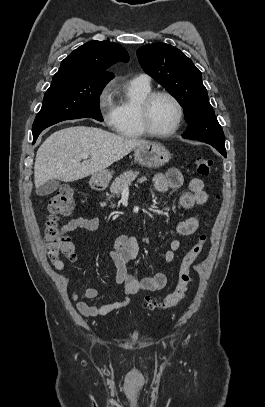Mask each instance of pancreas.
<instances>
[{
  "label": "pancreas",
  "instance_id": "1",
  "mask_svg": "<svg viewBox=\"0 0 265 407\" xmlns=\"http://www.w3.org/2000/svg\"><path fill=\"white\" fill-rule=\"evenodd\" d=\"M138 174H139L138 171H132V170L124 172L123 174H121L119 177H117L113 181V183L111 184V187H110V192L113 195L119 196V194L122 192V190L125 187L129 186L131 184V182L137 178ZM146 180H147V178L145 176L138 179V181L140 183H143ZM101 206H105V203H102Z\"/></svg>",
  "mask_w": 265,
  "mask_h": 407
}]
</instances>
